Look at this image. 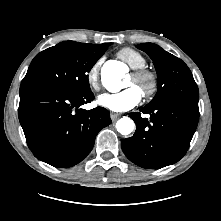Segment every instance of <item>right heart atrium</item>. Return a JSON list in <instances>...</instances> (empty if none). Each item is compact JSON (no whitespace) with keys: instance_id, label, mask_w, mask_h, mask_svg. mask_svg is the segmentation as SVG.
<instances>
[{"instance_id":"d8ad5b80","label":"right heart atrium","mask_w":221,"mask_h":221,"mask_svg":"<svg viewBox=\"0 0 221 221\" xmlns=\"http://www.w3.org/2000/svg\"><path fill=\"white\" fill-rule=\"evenodd\" d=\"M102 61L103 58L97 59L86 72L87 83L94 90H97L99 88V70Z\"/></svg>"}]
</instances>
